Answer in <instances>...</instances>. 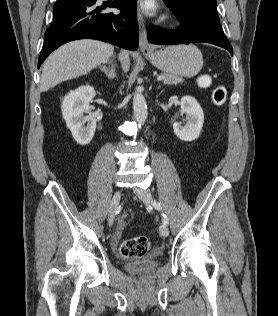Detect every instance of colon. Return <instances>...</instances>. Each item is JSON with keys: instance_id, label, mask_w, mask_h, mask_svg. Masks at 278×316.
<instances>
[{"instance_id": "1", "label": "colon", "mask_w": 278, "mask_h": 316, "mask_svg": "<svg viewBox=\"0 0 278 316\" xmlns=\"http://www.w3.org/2000/svg\"><path fill=\"white\" fill-rule=\"evenodd\" d=\"M200 85H208L209 78L201 76L199 78ZM227 98V88L224 85H216L212 89V101L215 105L221 106ZM150 247V241L146 236H138L125 240L120 246V254L123 257L132 258L140 257L147 253Z\"/></svg>"}]
</instances>
